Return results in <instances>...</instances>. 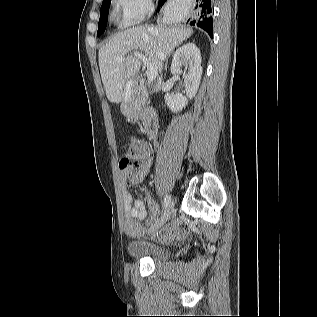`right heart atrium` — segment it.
<instances>
[{"label": "right heart atrium", "mask_w": 317, "mask_h": 317, "mask_svg": "<svg viewBox=\"0 0 317 317\" xmlns=\"http://www.w3.org/2000/svg\"><path fill=\"white\" fill-rule=\"evenodd\" d=\"M119 10L122 25L131 27L141 23L154 10L152 0H114Z\"/></svg>", "instance_id": "right-heart-atrium-1"}]
</instances>
